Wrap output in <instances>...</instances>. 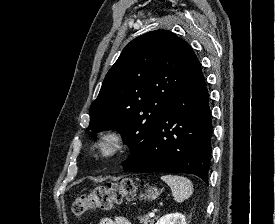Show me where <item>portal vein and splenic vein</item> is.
Listing matches in <instances>:
<instances>
[{
    "label": "portal vein and splenic vein",
    "instance_id": "1",
    "mask_svg": "<svg viewBox=\"0 0 275 224\" xmlns=\"http://www.w3.org/2000/svg\"><path fill=\"white\" fill-rule=\"evenodd\" d=\"M154 216H155V213L153 211L150 212L149 217H154Z\"/></svg>",
    "mask_w": 275,
    "mask_h": 224
}]
</instances>
